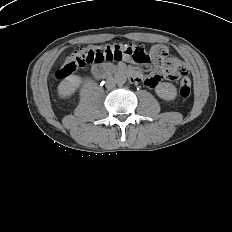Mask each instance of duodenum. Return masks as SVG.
<instances>
[{"label":"duodenum","instance_id":"obj_1","mask_svg":"<svg viewBox=\"0 0 232 232\" xmlns=\"http://www.w3.org/2000/svg\"><path fill=\"white\" fill-rule=\"evenodd\" d=\"M110 70V68L108 66L105 65H95L92 68V76L97 79L100 80L104 77V75ZM116 72L120 75H125L127 76L131 81L133 82H137L139 81V75L136 74L135 72H132L129 69L126 68H118L116 69Z\"/></svg>","mask_w":232,"mask_h":232}]
</instances>
